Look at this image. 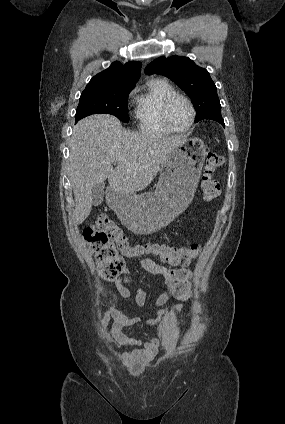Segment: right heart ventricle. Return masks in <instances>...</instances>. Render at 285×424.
Masks as SVG:
<instances>
[{
    "label": "right heart ventricle",
    "instance_id": "1",
    "mask_svg": "<svg viewBox=\"0 0 285 424\" xmlns=\"http://www.w3.org/2000/svg\"><path fill=\"white\" fill-rule=\"evenodd\" d=\"M175 94L173 86L164 79L152 80L137 90L134 116L142 132L155 136L172 133L163 123L162 110L165 102Z\"/></svg>",
    "mask_w": 285,
    "mask_h": 424
}]
</instances>
